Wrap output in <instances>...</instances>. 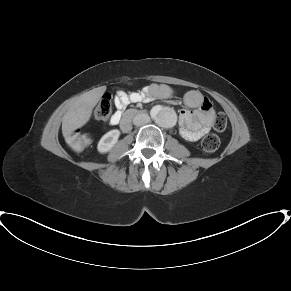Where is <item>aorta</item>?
Returning <instances> with one entry per match:
<instances>
[{
	"mask_svg": "<svg viewBox=\"0 0 291 291\" xmlns=\"http://www.w3.org/2000/svg\"><path fill=\"white\" fill-rule=\"evenodd\" d=\"M153 118L160 127L170 128L176 123V113L168 107H161L153 111Z\"/></svg>",
	"mask_w": 291,
	"mask_h": 291,
	"instance_id": "aorta-1",
	"label": "aorta"
}]
</instances>
